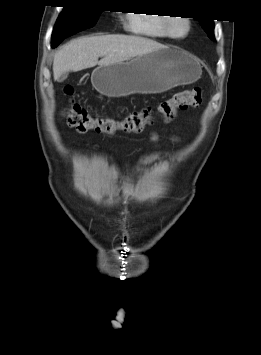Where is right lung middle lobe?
<instances>
[{
  "instance_id": "1",
  "label": "right lung middle lobe",
  "mask_w": 261,
  "mask_h": 355,
  "mask_svg": "<svg viewBox=\"0 0 261 355\" xmlns=\"http://www.w3.org/2000/svg\"><path fill=\"white\" fill-rule=\"evenodd\" d=\"M86 2L70 3L65 6L53 29L51 43L93 27L103 10L85 5Z\"/></svg>"
}]
</instances>
